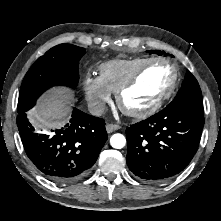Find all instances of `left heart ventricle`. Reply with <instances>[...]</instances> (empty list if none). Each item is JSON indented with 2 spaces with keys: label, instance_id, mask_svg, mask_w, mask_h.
<instances>
[{
  "label": "left heart ventricle",
  "instance_id": "1",
  "mask_svg": "<svg viewBox=\"0 0 221 221\" xmlns=\"http://www.w3.org/2000/svg\"><path fill=\"white\" fill-rule=\"evenodd\" d=\"M173 76L172 68L164 63L152 64L138 82L125 92L123 102L132 110L150 106L169 86Z\"/></svg>",
  "mask_w": 221,
  "mask_h": 221
}]
</instances>
